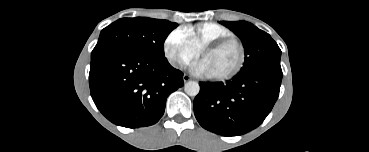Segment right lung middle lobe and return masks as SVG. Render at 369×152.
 Returning a JSON list of instances; mask_svg holds the SVG:
<instances>
[{
	"instance_id": "dd1d6c3e",
	"label": "right lung middle lobe",
	"mask_w": 369,
	"mask_h": 152,
	"mask_svg": "<svg viewBox=\"0 0 369 152\" xmlns=\"http://www.w3.org/2000/svg\"><path fill=\"white\" fill-rule=\"evenodd\" d=\"M177 26L167 20L147 17L119 19L101 31L91 59L117 51L164 58V41Z\"/></svg>"
}]
</instances>
